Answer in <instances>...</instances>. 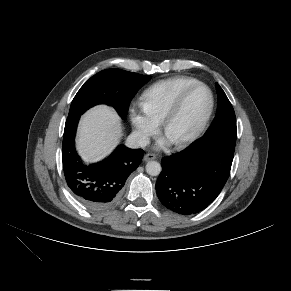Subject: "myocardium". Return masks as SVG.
<instances>
[{"instance_id":"1","label":"myocardium","mask_w":291,"mask_h":291,"mask_svg":"<svg viewBox=\"0 0 291 291\" xmlns=\"http://www.w3.org/2000/svg\"><path fill=\"white\" fill-rule=\"evenodd\" d=\"M197 88H204V89H206L208 91L209 98H210L209 106H208V109H207L205 115L203 116L200 124L196 128V130L192 134H190L188 137H186V138H184L182 140H179L177 142H174L175 147H177L179 149H183V148H186V147L190 146L204 132V130H205V128H206V126H207L210 118H211V115L213 113L214 104H215L214 95H213V92H212L211 88L208 85H206L205 83H202V82H198V83H195V84L187 87L176 98V100L173 102V104L168 109V111L166 112L165 116L163 117V119L161 121L162 131L164 133H166L167 128H168L170 122L176 116V114L178 113V111L182 107V105H183L184 101L186 100V98L188 97V95L192 91H194L195 89H197Z\"/></svg>"}]
</instances>
